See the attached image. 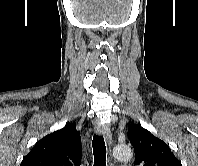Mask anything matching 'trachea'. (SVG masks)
I'll return each instance as SVG.
<instances>
[{"label": "trachea", "instance_id": "1", "mask_svg": "<svg viewBox=\"0 0 198 166\" xmlns=\"http://www.w3.org/2000/svg\"><path fill=\"white\" fill-rule=\"evenodd\" d=\"M94 166H106V146L104 137L94 135L93 141Z\"/></svg>", "mask_w": 198, "mask_h": 166}]
</instances>
